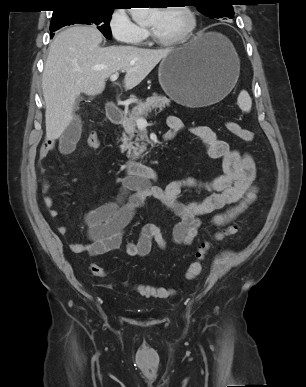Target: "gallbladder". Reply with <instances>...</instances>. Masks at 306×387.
<instances>
[{
    "label": "gallbladder",
    "instance_id": "obj_1",
    "mask_svg": "<svg viewBox=\"0 0 306 387\" xmlns=\"http://www.w3.org/2000/svg\"><path fill=\"white\" fill-rule=\"evenodd\" d=\"M79 101H80V99H79V98H77V100H76V104H75V106H76V107L78 106V103H79Z\"/></svg>",
    "mask_w": 306,
    "mask_h": 387
}]
</instances>
